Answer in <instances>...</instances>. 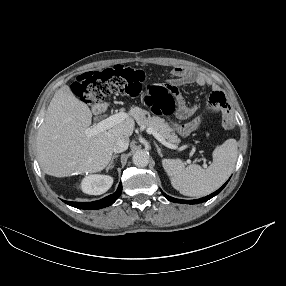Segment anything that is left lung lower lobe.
<instances>
[{
	"mask_svg": "<svg viewBox=\"0 0 286 286\" xmlns=\"http://www.w3.org/2000/svg\"><path fill=\"white\" fill-rule=\"evenodd\" d=\"M229 181V180H228ZM228 181L221 187L219 188L217 191H215L214 193L210 194L209 196H206V197H203V198H200V199H197V200H181V199H176V198H173V197H170L168 195H166L164 192H162V194L170 201L172 202H176V203H184V204H198V203H202V202H205L209 199H211L212 197H214L215 195H217L225 186L226 184L228 183Z\"/></svg>",
	"mask_w": 286,
	"mask_h": 286,
	"instance_id": "0a47b994",
	"label": "left lung lower lobe"
}]
</instances>
